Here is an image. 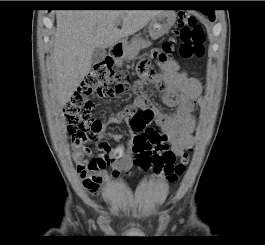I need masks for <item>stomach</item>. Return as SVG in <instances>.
Listing matches in <instances>:
<instances>
[{
  "label": "stomach",
  "mask_w": 265,
  "mask_h": 245,
  "mask_svg": "<svg viewBox=\"0 0 265 245\" xmlns=\"http://www.w3.org/2000/svg\"><path fill=\"white\" fill-rule=\"evenodd\" d=\"M176 21V15L174 12L163 11L162 14L155 16L151 19L148 25V32L152 39H158L159 37L167 34L173 27ZM132 42H142L141 37L136 36Z\"/></svg>",
  "instance_id": "0dacf381"
}]
</instances>
